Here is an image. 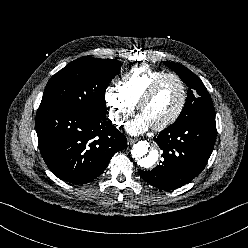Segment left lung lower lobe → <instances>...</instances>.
I'll return each instance as SVG.
<instances>
[{"mask_svg": "<svg viewBox=\"0 0 248 248\" xmlns=\"http://www.w3.org/2000/svg\"><path fill=\"white\" fill-rule=\"evenodd\" d=\"M216 138L215 118L171 125L154 141L163 150L164 160L140 176L161 190L179 188L198 176L207 164Z\"/></svg>", "mask_w": 248, "mask_h": 248, "instance_id": "1", "label": "left lung lower lobe"}]
</instances>
